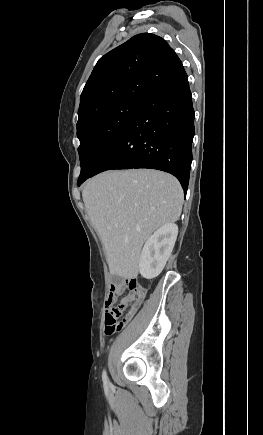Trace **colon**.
Returning a JSON list of instances; mask_svg holds the SVG:
<instances>
[{
    "label": "colon",
    "instance_id": "1",
    "mask_svg": "<svg viewBox=\"0 0 263 435\" xmlns=\"http://www.w3.org/2000/svg\"><path fill=\"white\" fill-rule=\"evenodd\" d=\"M112 290L116 291L118 294L124 290H128V293L119 305L111 307L106 312L105 333L107 335H112L120 331L124 327V324L131 320L145 296V290L136 279H126L119 284L113 285ZM124 311H126L125 316L122 320H119Z\"/></svg>",
    "mask_w": 263,
    "mask_h": 435
}]
</instances>
